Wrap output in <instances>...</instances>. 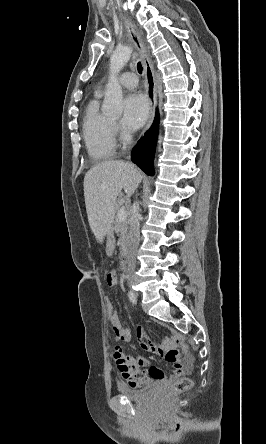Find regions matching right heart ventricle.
<instances>
[{"mask_svg":"<svg viewBox=\"0 0 266 444\" xmlns=\"http://www.w3.org/2000/svg\"><path fill=\"white\" fill-rule=\"evenodd\" d=\"M99 97L88 103L82 123L85 146L95 160H105L114 156L117 143L111 119L99 109Z\"/></svg>","mask_w":266,"mask_h":444,"instance_id":"right-heart-ventricle-1","label":"right heart ventricle"}]
</instances>
